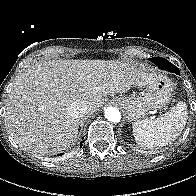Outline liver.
Here are the masks:
<instances>
[{"label": "liver", "mask_w": 196, "mask_h": 196, "mask_svg": "<svg viewBox=\"0 0 196 196\" xmlns=\"http://www.w3.org/2000/svg\"><path fill=\"white\" fill-rule=\"evenodd\" d=\"M136 66L114 60H50L38 62L16 78L7 98L5 125L23 150L39 155L64 151L75 142L79 119L72 103L87 105L86 114L104 97L126 93L136 81Z\"/></svg>", "instance_id": "6515ba94"}]
</instances>
